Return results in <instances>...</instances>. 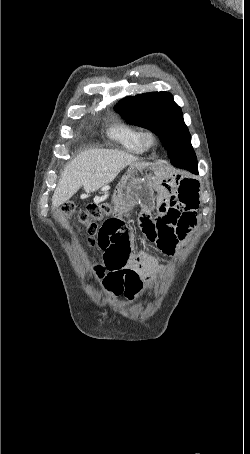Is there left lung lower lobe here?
<instances>
[{"label": "left lung lower lobe", "mask_w": 250, "mask_h": 454, "mask_svg": "<svg viewBox=\"0 0 250 454\" xmlns=\"http://www.w3.org/2000/svg\"><path fill=\"white\" fill-rule=\"evenodd\" d=\"M171 164L177 168L186 169L197 174V159L192 153L179 154L170 156Z\"/></svg>", "instance_id": "obj_1"}]
</instances>
